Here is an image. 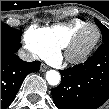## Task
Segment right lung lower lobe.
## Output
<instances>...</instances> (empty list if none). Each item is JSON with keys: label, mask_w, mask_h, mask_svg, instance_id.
I'll return each instance as SVG.
<instances>
[{"label": "right lung lower lobe", "mask_w": 109, "mask_h": 109, "mask_svg": "<svg viewBox=\"0 0 109 109\" xmlns=\"http://www.w3.org/2000/svg\"><path fill=\"white\" fill-rule=\"evenodd\" d=\"M20 47V42L1 36V109L13 102L25 77L40 69L39 61L25 62L16 55Z\"/></svg>", "instance_id": "right-lung-lower-lobe-1"}]
</instances>
